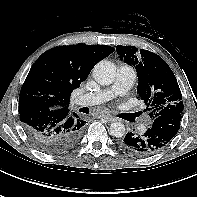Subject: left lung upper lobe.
Wrapping results in <instances>:
<instances>
[{
  "mask_svg": "<svg viewBox=\"0 0 197 197\" xmlns=\"http://www.w3.org/2000/svg\"><path fill=\"white\" fill-rule=\"evenodd\" d=\"M120 59L133 65L138 76L137 93L152 120L172 113H182L183 101L177 80L168 64L158 55L135 46H116Z\"/></svg>",
  "mask_w": 197,
  "mask_h": 197,
  "instance_id": "left-lung-upper-lobe-1",
  "label": "left lung upper lobe"
}]
</instances>
